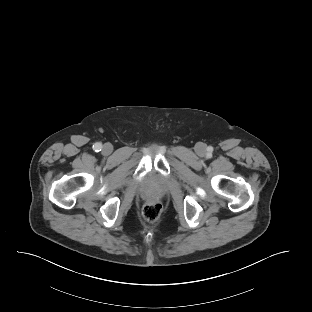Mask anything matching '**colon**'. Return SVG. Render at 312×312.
Listing matches in <instances>:
<instances>
[{
  "label": "colon",
  "mask_w": 312,
  "mask_h": 312,
  "mask_svg": "<svg viewBox=\"0 0 312 312\" xmlns=\"http://www.w3.org/2000/svg\"><path fill=\"white\" fill-rule=\"evenodd\" d=\"M161 213V205L157 202H149L143 207V217L148 222H155Z\"/></svg>",
  "instance_id": "1"
}]
</instances>
